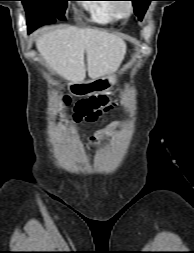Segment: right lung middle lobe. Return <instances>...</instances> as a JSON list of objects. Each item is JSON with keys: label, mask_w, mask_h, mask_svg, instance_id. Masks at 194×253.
Returning <instances> with one entry per match:
<instances>
[{"label": "right lung middle lobe", "mask_w": 194, "mask_h": 253, "mask_svg": "<svg viewBox=\"0 0 194 253\" xmlns=\"http://www.w3.org/2000/svg\"><path fill=\"white\" fill-rule=\"evenodd\" d=\"M26 14L27 25L36 29L44 24L65 20V10L69 0H21Z\"/></svg>", "instance_id": "1"}]
</instances>
